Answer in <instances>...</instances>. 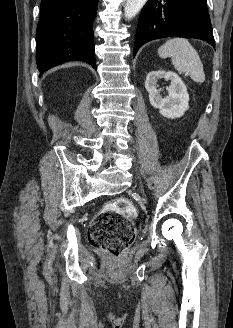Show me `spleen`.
I'll list each match as a JSON object with an SVG mask.
<instances>
[{
  "instance_id": "1",
  "label": "spleen",
  "mask_w": 233,
  "mask_h": 328,
  "mask_svg": "<svg viewBox=\"0 0 233 328\" xmlns=\"http://www.w3.org/2000/svg\"><path fill=\"white\" fill-rule=\"evenodd\" d=\"M158 54L161 58L171 57L174 68L179 73L189 75L196 83L205 81L200 57L186 38L169 39L158 49Z\"/></svg>"
}]
</instances>
